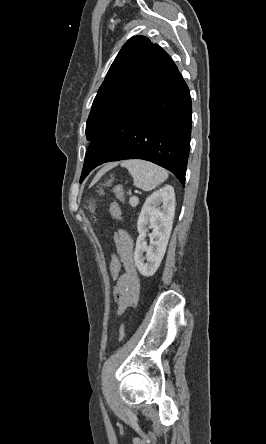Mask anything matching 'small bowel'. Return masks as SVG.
I'll return each instance as SVG.
<instances>
[{
  "mask_svg": "<svg viewBox=\"0 0 266 444\" xmlns=\"http://www.w3.org/2000/svg\"><path fill=\"white\" fill-rule=\"evenodd\" d=\"M117 252L123 266V273L119 276L114 287V296L118 304V313L137 303L140 293V279L138 277L134 258L133 241L124 232L115 237Z\"/></svg>",
  "mask_w": 266,
  "mask_h": 444,
  "instance_id": "1",
  "label": "small bowel"
}]
</instances>
